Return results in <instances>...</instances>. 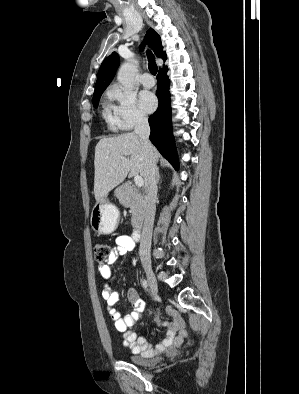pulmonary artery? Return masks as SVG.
Here are the masks:
<instances>
[{
	"label": "pulmonary artery",
	"instance_id": "1",
	"mask_svg": "<svg viewBox=\"0 0 299 394\" xmlns=\"http://www.w3.org/2000/svg\"><path fill=\"white\" fill-rule=\"evenodd\" d=\"M140 81H141L142 85L147 88H150V87L154 86V84H155V79L153 78V76L150 73H144L141 76Z\"/></svg>",
	"mask_w": 299,
	"mask_h": 394
}]
</instances>
